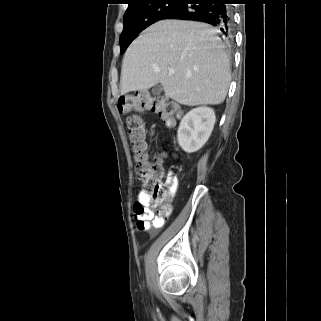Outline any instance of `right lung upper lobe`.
<instances>
[{
	"label": "right lung upper lobe",
	"instance_id": "1",
	"mask_svg": "<svg viewBox=\"0 0 321 321\" xmlns=\"http://www.w3.org/2000/svg\"><path fill=\"white\" fill-rule=\"evenodd\" d=\"M128 1H129V3H128V8H127L126 12H128L131 8L141 6V5L145 4L146 2H149L152 0H128Z\"/></svg>",
	"mask_w": 321,
	"mask_h": 321
}]
</instances>
